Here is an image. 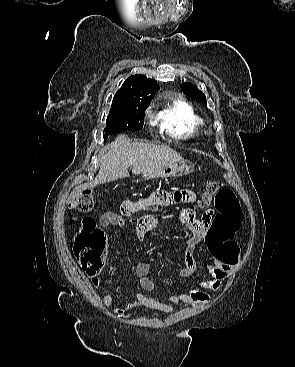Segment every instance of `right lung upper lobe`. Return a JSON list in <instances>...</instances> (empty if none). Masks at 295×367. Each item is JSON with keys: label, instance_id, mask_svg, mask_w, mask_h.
I'll list each match as a JSON object with an SVG mask.
<instances>
[{"label": "right lung upper lobe", "instance_id": "cb5924a9", "mask_svg": "<svg viewBox=\"0 0 295 367\" xmlns=\"http://www.w3.org/2000/svg\"><path fill=\"white\" fill-rule=\"evenodd\" d=\"M158 91L157 82L143 75L130 76L114 95L112 106L134 102H151Z\"/></svg>", "mask_w": 295, "mask_h": 367}]
</instances>
